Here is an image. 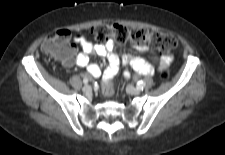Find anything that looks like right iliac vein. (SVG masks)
<instances>
[{
  "instance_id": "right-iliac-vein-1",
  "label": "right iliac vein",
  "mask_w": 225,
  "mask_h": 155,
  "mask_svg": "<svg viewBox=\"0 0 225 155\" xmlns=\"http://www.w3.org/2000/svg\"><path fill=\"white\" fill-rule=\"evenodd\" d=\"M83 92H85V93H89L90 91H91V86H89V85H85L84 87H83Z\"/></svg>"
}]
</instances>
